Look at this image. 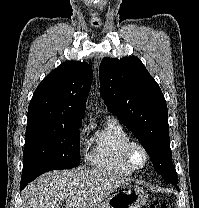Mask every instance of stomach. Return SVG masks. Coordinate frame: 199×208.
Returning <instances> with one entry per match:
<instances>
[{
    "instance_id": "1",
    "label": "stomach",
    "mask_w": 199,
    "mask_h": 208,
    "mask_svg": "<svg viewBox=\"0 0 199 208\" xmlns=\"http://www.w3.org/2000/svg\"><path fill=\"white\" fill-rule=\"evenodd\" d=\"M148 200V193L140 186H123L95 208H142Z\"/></svg>"
}]
</instances>
